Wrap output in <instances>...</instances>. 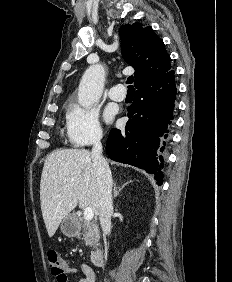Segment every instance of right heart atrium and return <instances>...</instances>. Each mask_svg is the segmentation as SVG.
<instances>
[{
    "label": "right heart atrium",
    "mask_w": 232,
    "mask_h": 282,
    "mask_svg": "<svg viewBox=\"0 0 232 282\" xmlns=\"http://www.w3.org/2000/svg\"><path fill=\"white\" fill-rule=\"evenodd\" d=\"M69 142L75 147H85L98 142L102 137L98 111L91 107L73 104L66 116Z\"/></svg>",
    "instance_id": "right-heart-atrium-1"
}]
</instances>
